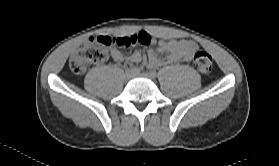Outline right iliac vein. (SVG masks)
<instances>
[{"mask_svg": "<svg viewBox=\"0 0 279 166\" xmlns=\"http://www.w3.org/2000/svg\"><path fill=\"white\" fill-rule=\"evenodd\" d=\"M134 74H135L134 72H132L131 70H128L125 74L126 80L131 79L134 76Z\"/></svg>", "mask_w": 279, "mask_h": 166, "instance_id": "obj_1", "label": "right iliac vein"}]
</instances>
